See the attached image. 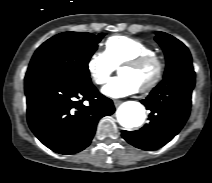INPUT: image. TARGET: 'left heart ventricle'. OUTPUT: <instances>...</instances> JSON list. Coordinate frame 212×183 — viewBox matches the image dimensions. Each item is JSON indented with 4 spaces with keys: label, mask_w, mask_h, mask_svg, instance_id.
<instances>
[{
    "label": "left heart ventricle",
    "mask_w": 212,
    "mask_h": 183,
    "mask_svg": "<svg viewBox=\"0 0 212 183\" xmlns=\"http://www.w3.org/2000/svg\"><path fill=\"white\" fill-rule=\"evenodd\" d=\"M156 68L153 64L140 68H122L119 75L130 80L138 88L147 85L155 75Z\"/></svg>",
    "instance_id": "left-heart-ventricle-1"
}]
</instances>
